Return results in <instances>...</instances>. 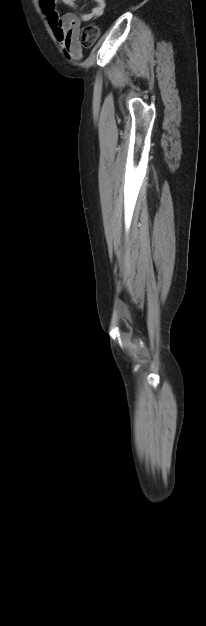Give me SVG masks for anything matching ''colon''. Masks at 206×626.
I'll return each mask as SVG.
<instances>
[{"instance_id":"1","label":"colon","mask_w":206,"mask_h":626,"mask_svg":"<svg viewBox=\"0 0 206 626\" xmlns=\"http://www.w3.org/2000/svg\"><path fill=\"white\" fill-rule=\"evenodd\" d=\"M99 28L96 25H88L81 34V43L84 47L90 48L98 39Z\"/></svg>"}]
</instances>
